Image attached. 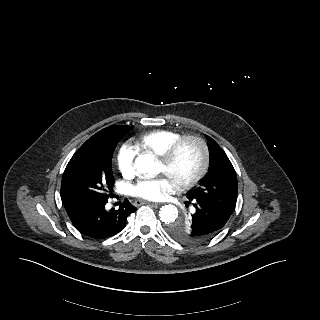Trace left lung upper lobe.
Returning a JSON list of instances; mask_svg holds the SVG:
<instances>
[{
    "mask_svg": "<svg viewBox=\"0 0 320 320\" xmlns=\"http://www.w3.org/2000/svg\"><path fill=\"white\" fill-rule=\"evenodd\" d=\"M207 139L210 153L209 173L195 190L188 193L189 202L187 204L200 199L216 205L231 215L237 201L236 172L223 149L212 138L207 137ZM195 216L191 214V216L179 218L170 223L168 226L170 235L186 244L202 242L193 234L197 228Z\"/></svg>",
    "mask_w": 320,
    "mask_h": 320,
    "instance_id": "obj_1",
    "label": "left lung upper lobe"
}]
</instances>
